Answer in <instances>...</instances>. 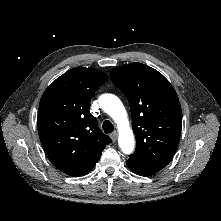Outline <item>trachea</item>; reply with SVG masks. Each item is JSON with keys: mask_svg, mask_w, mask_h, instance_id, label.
Wrapping results in <instances>:
<instances>
[{"mask_svg": "<svg viewBox=\"0 0 221 221\" xmlns=\"http://www.w3.org/2000/svg\"><path fill=\"white\" fill-rule=\"evenodd\" d=\"M102 128L106 134L111 133L114 130V126L109 120L103 122Z\"/></svg>", "mask_w": 221, "mask_h": 221, "instance_id": "1", "label": "trachea"}]
</instances>
